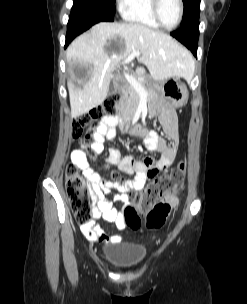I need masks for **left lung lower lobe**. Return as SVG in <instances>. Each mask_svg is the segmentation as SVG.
I'll return each instance as SVG.
<instances>
[{"label":"left lung lower lobe","mask_w":247,"mask_h":304,"mask_svg":"<svg viewBox=\"0 0 247 304\" xmlns=\"http://www.w3.org/2000/svg\"><path fill=\"white\" fill-rule=\"evenodd\" d=\"M171 35L190 49L194 56H197L199 21H194L181 26L179 30L172 32Z\"/></svg>","instance_id":"0a47b994"}]
</instances>
